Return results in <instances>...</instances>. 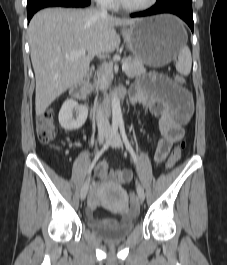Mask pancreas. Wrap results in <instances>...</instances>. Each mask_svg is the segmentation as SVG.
<instances>
[{
	"mask_svg": "<svg viewBox=\"0 0 227 265\" xmlns=\"http://www.w3.org/2000/svg\"><path fill=\"white\" fill-rule=\"evenodd\" d=\"M123 63H126L128 65V69L125 71V73L129 78L138 77L146 72V69L142 61H140L135 57H128L124 59ZM111 80H112L111 71L106 68L103 71L100 79L101 88L105 90L110 85Z\"/></svg>",
	"mask_w": 227,
	"mask_h": 265,
	"instance_id": "cf45deb5",
	"label": "pancreas"
}]
</instances>
